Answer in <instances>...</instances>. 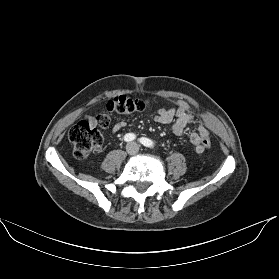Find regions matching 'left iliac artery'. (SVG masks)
<instances>
[{"instance_id":"obj_1","label":"left iliac artery","mask_w":279,"mask_h":279,"mask_svg":"<svg viewBox=\"0 0 279 279\" xmlns=\"http://www.w3.org/2000/svg\"><path fill=\"white\" fill-rule=\"evenodd\" d=\"M140 142L146 147H152L153 146V142L150 139L145 138V137L140 138Z\"/></svg>"}]
</instances>
